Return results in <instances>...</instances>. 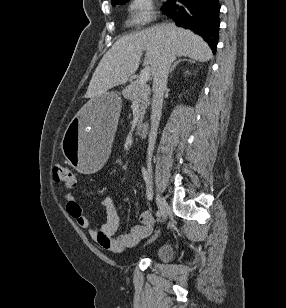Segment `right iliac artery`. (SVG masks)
Segmentation results:
<instances>
[{
  "instance_id": "1",
  "label": "right iliac artery",
  "mask_w": 286,
  "mask_h": 308,
  "mask_svg": "<svg viewBox=\"0 0 286 308\" xmlns=\"http://www.w3.org/2000/svg\"><path fill=\"white\" fill-rule=\"evenodd\" d=\"M142 175H143V178H144V181H145V184H146V188H147V192H146L147 198L149 200H152L153 193H152V188H151L150 176H149V173L146 171V169L144 167L142 168ZM156 216H157V219L159 220L160 217H161V212L157 211Z\"/></svg>"
}]
</instances>
